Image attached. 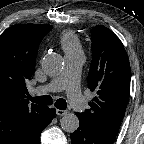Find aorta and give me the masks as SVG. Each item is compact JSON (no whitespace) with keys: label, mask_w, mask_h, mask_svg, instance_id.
<instances>
[{"label":"aorta","mask_w":144,"mask_h":144,"mask_svg":"<svg viewBox=\"0 0 144 144\" xmlns=\"http://www.w3.org/2000/svg\"><path fill=\"white\" fill-rule=\"evenodd\" d=\"M42 69L49 76H57L63 70V59L57 53L46 54L41 61ZM61 128L68 133L75 132L79 127V119L74 113L65 114L60 120Z\"/></svg>","instance_id":"obj_1"}]
</instances>
